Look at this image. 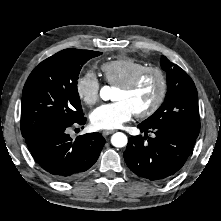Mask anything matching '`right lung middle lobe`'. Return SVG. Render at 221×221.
I'll return each mask as SVG.
<instances>
[{
    "label": "right lung middle lobe",
    "mask_w": 221,
    "mask_h": 221,
    "mask_svg": "<svg viewBox=\"0 0 221 221\" xmlns=\"http://www.w3.org/2000/svg\"><path fill=\"white\" fill-rule=\"evenodd\" d=\"M102 53L65 49L42 61L29 75L22 92L21 133L26 137L54 124L83 117L77 80L82 66Z\"/></svg>",
    "instance_id": "1"
}]
</instances>
